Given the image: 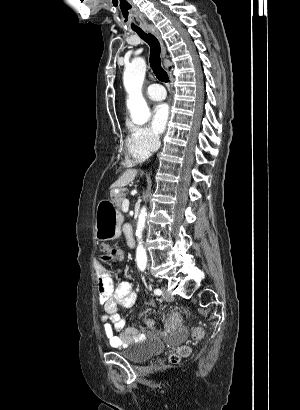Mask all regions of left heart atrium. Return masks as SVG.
I'll return each mask as SVG.
<instances>
[{
  "label": "left heart atrium",
  "instance_id": "1",
  "mask_svg": "<svg viewBox=\"0 0 300 410\" xmlns=\"http://www.w3.org/2000/svg\"><path fill=\"white\" fill-rule=\"evenodd\" d=\"M170 118V109L166 103L157 104L153 109L152 126L158 133H163Z\"/></svg>",
  "mask_w": 300,
  "mask_h": 410
}]
</instances>
